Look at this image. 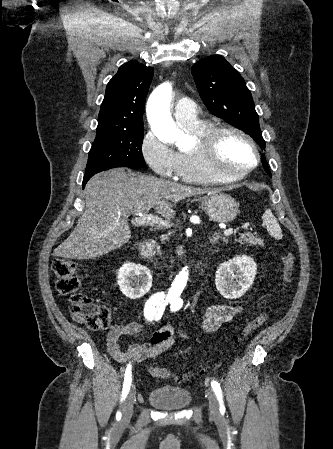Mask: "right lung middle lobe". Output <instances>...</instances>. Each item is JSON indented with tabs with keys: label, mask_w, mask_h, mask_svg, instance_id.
Masks as SVG:
<instances>
[{
	"label": "right lung middle lobe",
	"mask_w": 333,
	"mask_h": 449,
	"mask_svg": "<svg viewBox=\"0 0 333 449\" xmlns=\"http://www.w3.org/2000/svg\"><path fill=\"white\" fill-rule=\"evenodd\" d=\"M143 128L134 132H97L89 152L85 174L119 166L146 167L142 155Z\"/></svg>",
	"instance_id": "obj_1"
}]
</instances>
